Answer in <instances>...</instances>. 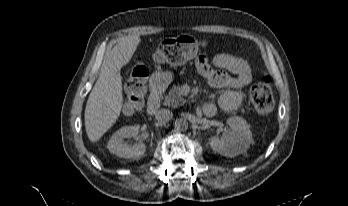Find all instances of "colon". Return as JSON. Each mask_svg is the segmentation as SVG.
<instances>
[{
	"label": "colon",
	"mask_w": 348,
	"mask_h": 206,
	"mask_svg": "<svg viewBox=\"0 0 348 206\" xmlns=\"http://www.w3.org/2000/svg\"><path fill=\"white\" fill-rule=\"evenodd\" d=\"M194 47V41L186 36L167 38L158 45L154 60L161 64H181L194 53ZM148 73L147 67L141 61L133 64L124 104L126 112L133 113L143 107ZM250 101L255 110L261 114L272 111L274 97L270 85L265 81L255 84L250 91Z\"/></svg>",
	"instance_id": "colon-1"
}]
</instances>
